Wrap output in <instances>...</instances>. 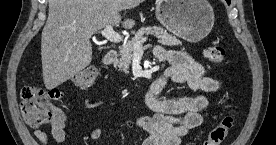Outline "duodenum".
<instances>
[{
  "mask_svg": "<svg viewBox=\"0 0 276 145\" xmlns=\"http://www.w3.org/2000/svg\"><path fill=\"white\" fill-rule=\"evenodd\" d=\"M117 56L118 52L115 49H110L105 53L103 61L107 65L112 64L117 59ZM158 85L161 86L162 82L159 81Z\"/></svg>",
  "mask_w": 276,
  "mask_h": 145,
  "instance_id": "1",
  "label": "duodenum"
}]
</instances>
